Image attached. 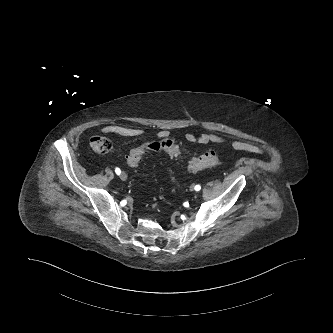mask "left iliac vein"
I'll return each instance as SVG.
<instances>
[{
    "label": "left iliac vein",
    "instance_id": "obj_1",
    "mask_svg": "<svg viewBox=\"0 0 333 333\" xmlns=\"http://www.w3.org/2000/svg\"><path fill=\"white\" fill-rule=\"evenodd\" d=\"M190 190H191V191L194 190V186H193V185L190 186Z\"/></svg>",
    "mask_w": 333,
    "mask_h": 333
}]
</instances>
